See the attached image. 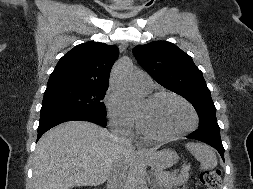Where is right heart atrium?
<instances>
[{"instance_id": "1", "label": "right heart atrium", "mask_w": 253, "mask_h": 189, "mask_svg": "<svg viewBox=\"0 0 253 189\" xmlns=\"http://www.w3.org/2000/svg\"><path fill=\"white\" fill-rule=\"evenodd\" d=\"M105 106L112 125L121 130H130L135 117L127 109L122 98L114 91L109 90L105 95Z\"/></svg>"}]
</instances>
